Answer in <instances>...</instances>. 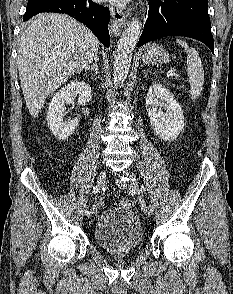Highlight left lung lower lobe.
<instances>
[{
  "instance_id": "0a47b994",
  "label": "left lung lower lobe",
  "mask_w": 233,
  "mask_h": 294,
  "mask_svg": "<svg viewBox=\"0 0 233 294\" xmlns=\"http://www.w3.org/2000/svg\"><path fill=\"white\" fill-rule=\"evenodd\" d=\"M166 36H185L206 44L214 54L207 0H150L138 47Z\"/></svg>"
}]
</instances>
